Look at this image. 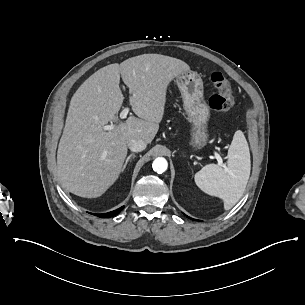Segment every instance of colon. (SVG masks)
I'll return each mask as SVG.
<instances>
[{
  "label": "colon",
  "mask_w": 305,
  "mask_h": 305,
  "mask_svg": "<svg viewBox=\"0 0 305 305\" xmlns=\"http://www.w3.org/2000/svg\"><path fill=\"white\" fill-rule=\"evenodd\" d=\"M210 81L216 91L209 98L210 108L221 112L230 110L234 106V99L225 74L214 71L210 74Z\"/></svg>",
  "instance_id": "1"
}]
</instances>
